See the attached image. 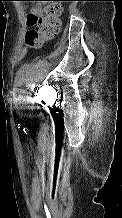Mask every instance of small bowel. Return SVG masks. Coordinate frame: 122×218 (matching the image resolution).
Listing matches in <instances>:
<instances>
[{
    "label": "small bowel",
    "mask_w": 122,
    "mask_h": 218,
    "mask_svg": "<svg viewBox=\"0 0 122 218\" xmlns=\"http://www.w3.org/2000/svg\"><path fill=\"white\" fill-rule=\"evenodd\" d=\"M32 13H35L37 15H42L44 13V5L43 4H37L32 7L31 9Z\"/></svg>",
    "instance_id": "small-bowel-1"
}]
</instances>
